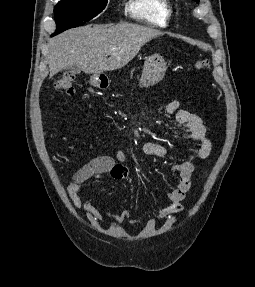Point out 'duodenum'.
I'll return each instance as SVG.
<instances>
[{"label": "duodenum", "instance_id": "410a0bca", "mask_svg": "<svg viewBox=\"0 0 255 287\" xmlns=\"http://www.w3.org/2000/svg\"><path fill=\"white\" fill-rule=\"evenodd\" d=\"M98 86L101 87V88H106L107 83L104 82V81H99V82H98Z\"/></svg>", "mask_w": 255, "mask_h": 287}]
</instances>
